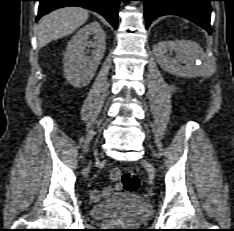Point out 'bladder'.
<instances>
[{
  "mask_svg": "<svg viewBox=\"0 0 234 231\" xmlns=\"http://www.w3.org/2000/svg\"><path fill=\"white\" fill-rule=\"evenodd\" d=\"M90 213L98 220L118 218L146 220L151 216L152 208L143 197L133 193H123L92 206Z\"/></svg>",
  "mask_w": 234,
  "mask_h": 231,
  "instance_id": "obj_1",
  "label": "bladder"
}]
</instances>
